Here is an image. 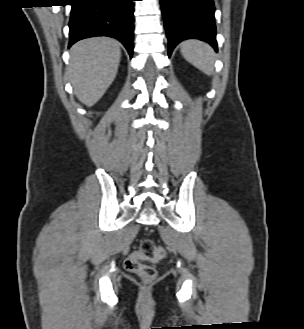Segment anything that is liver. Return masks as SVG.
Instances as JSON below:
<instances>
[{
  "label": "liver",
  "instance_id": "liver-1",
  "mask_svg": "<svg viewBox=\"0 0 304 329\" xmlns=\"http://www.w3.org/2000/svg\"><path fill=\"white\" fill-rule=\"evenodd\" d=\"M119 43L107 37L79 41L71 48L69 78L76 97L93 106L115 79L120 63Z\"/></svg>",
  "mask_w": 304,
  "mask_h": 329
}]
</instances>
